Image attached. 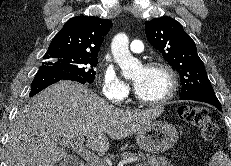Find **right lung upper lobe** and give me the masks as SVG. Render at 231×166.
Returning <instances> with one entry per match:
<instances>
[{"instance_id": "1", "label": "right lung upper lobe", "mask_w": 231, "mask_h": 166, "mask_svg": "<svg viewBox=\"0 0 231 166\" xmlns=\"http://www.w3.org/2000/svg\"><path fill=\"white\" fill-rule=\"evenodd\" d=\"M112 26L111 20L90 16L73 17L52 39L47 53L97 57L104 36Z\"/></svg>"}]
</instances>
